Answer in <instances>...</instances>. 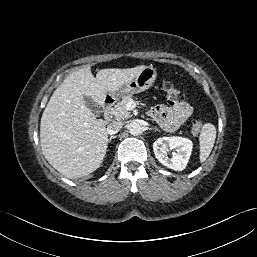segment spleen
I'll list each match as a JSON object with an SVG mask.
<instances>
[{
  "mask_svg": "<svg viewBox=\"0 0 257 257\" xmlns=\"http://www.w3.org/2000/svg\"><path fill=\"white\" fill-rule=\"evenodd\" d=\"M216 139V128L211 123H205L199 135L200 162H204L210 155Z\"/></svg>",
  "mask_w": 257,
  "mask_h": 257,
  "instance_id": "3e777b00",
  "label": "spleen"
}]
</instances>
